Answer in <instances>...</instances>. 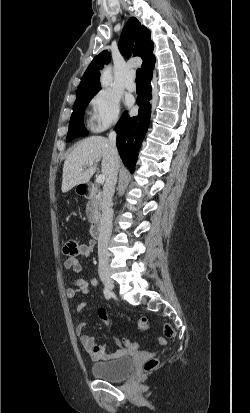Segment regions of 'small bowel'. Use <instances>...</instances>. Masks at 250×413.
Here are the masks:
<instances>
[{
    "label": "small bowel",
    "mask_w": 250,
    "mask_h": 413,
    "mask_svg": "<svg viewBox=\"0 0 250 413\" xmlns=\"http://www.w3.org/2000/svg\"><path fill=\"white\" fill-rule=\"evenodd\" d=\"M94 241L90 240L87 243L80 244L78 250V256L89 257L94 248ZM64 268L66 271H73L75 273H80L82 271V266L76 256H70L64 261ZM98 281L96 278L92 277L89 281L84 279H77L71 281V286L66 289V296L70 299L75 298L78 294L86 295L89 292V286H97ZM87 301H81L76 306V312L81 313L87 307ZM87 323L81 322L76 328V334L79 337L80 343L83 348L89 353L90 357L94 361H105L114 359L121 356L126 352L123 348L119 339H116V344L118 348L113 352H108L105 344L97 343L96 339L86 333H84ZM131 350V349H130Z\"/></svg>",
    "instance_id": "small-bowel-1"
}]
</instances>
